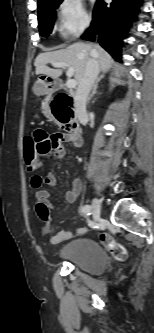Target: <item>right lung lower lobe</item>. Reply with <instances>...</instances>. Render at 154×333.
<instances>
[{
  "label": "right lung lower lobe",
  "instance_id": "obj_1",
  "mask_svg": "<svg viewBox=\"0 0 154 333\" xmlns=\"http://www.w3.org/2000/svg\"><path fill=\"white\" fill-rule=\"evenodd\" d=\"M141 0H113L107 5L98 0L91 27L83 35L84 39L94 40L98 34V42L116 60H120L122 39L131 25L137 5Z\"/></svg>",
  "mask_w": 154,
  "mask_h": 333
}]
</instances>
